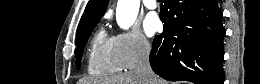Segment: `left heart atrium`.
<instances>
[{"label":"left heart atrium","mask_w":260,"mask_h":84,"mask_svg":"<svg viewBox=\"0 0 260 84\" xmlns=\"http://www.w3.org/2000/svg\"><path fill=\"white\" fill-rule=\"evenodd\" d=\"M160 28L159 18L155 13H149L144 21V30L148 36L154 35Z\"/></svg>","instance_id":"left-heart-atrium-1"}]
</instances>
